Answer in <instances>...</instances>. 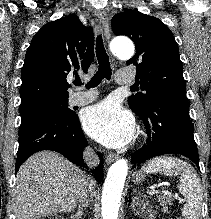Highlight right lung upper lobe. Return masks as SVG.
<instances>
[{"label": "right lung upper lobe", "mask_w": 211, "mask_h": 219, "mask_svg": "<svg viewBox=\"0 0 211 219\" xmlns=\"http://www.w3.org/2000/svg\"><path fill=\"white\" fill-rule=\"evenodd\" d=\"M94 60V35L76 15L44 25L32 38L22 67L21 104L68 98L67 79L86 73Z\"/></svg>", "instance_id": "obj_1"}]
</instances>
